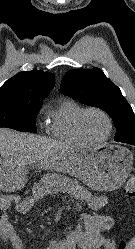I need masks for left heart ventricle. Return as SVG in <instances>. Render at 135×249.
Masks as SVG:
<instances>
[{
    "label": "left heart ventricle",
    "instance_id": "1",
    "mask_svg": "<svg viewBox=\"0 0 135 249\" xmlns=\"http://www.w3.org/2000/svg\"><path fill=\"white\" fill-rule=\"evenodd\" d=\"M84 129L88 137L93 140L104 138L108 132L106 119L97 112H90L83 121Z\"/></svg>",
    "mask_w": 135,
    "mask_h": 249
}]
</instances>
